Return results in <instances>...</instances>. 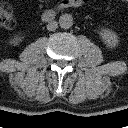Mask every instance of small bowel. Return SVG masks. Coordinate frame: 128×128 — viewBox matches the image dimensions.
<instances>
[{
    "mask_svg": "<svg viewBox=\"0 0 128 128\" xmlns=\"http://www.w3.org/2000/svg\"><path fill=\"white\" fill-rule=\"evenodd\" d=\"M121 1H123V2H128V0H121Z\"/></svg>",
    "mask_w": 128,
    "mask_h": 128,
    "instance_id": "small-bowel-1",
    "label": "small bowel"
}]
</instances>
